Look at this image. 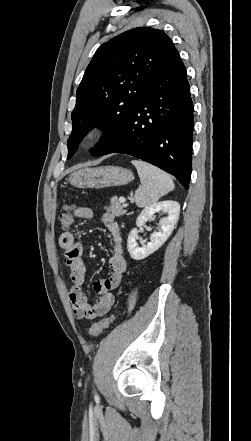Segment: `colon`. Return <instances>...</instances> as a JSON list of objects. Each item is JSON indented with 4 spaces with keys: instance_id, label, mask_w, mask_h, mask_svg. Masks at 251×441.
Instances as JSON below:
<instances>
[{
    "instance_id": "colon-1",
    "label": "colon",
    "mask_w": 251,
    "mask_h": 441,
    "mask_svg": "<svg viewBox=\"0 0 251 441\" xmlns=\"http://www.w3.org/2000/svg\"><path fill=\"white\" fill-rule=\"evenodd\" d=\"M74 221V204L68 203L64 205V211L59 215V224L62 229L68 230ZM115 315L104 318L94 323L89 329V335L96 337L108 328L114 321Z\"/></svg>"
}]
</instances>
